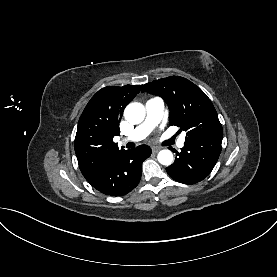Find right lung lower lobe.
<instances>
[{
	"label": "right lung lower lobe",
	"mask_w": 277,
	"mask_h": 277,
	"mask_svg": "<svg viewBox=\"0 0 277 277\" xmlns=\"http://www.w3.org/2000/svg\"><path fill=\"white\" fill-rule=\"evenodd\" d=\"M151 154L147 145L123 150L112 157L98 172L86 179L91 186L109 196H121L140 182L142 162Z\"/></svg>",
	"instance_id": "right-lung-lower-lobe-1"
}]
</instances>
